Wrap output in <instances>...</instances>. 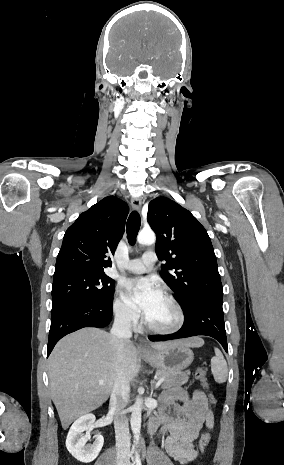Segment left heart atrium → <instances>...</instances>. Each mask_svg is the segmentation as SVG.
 Here are the masks:
<instances>
[{"instance_id": "left-heart-atrium-1", "label": "left heart atrium", "mask_w": 284, "mask_h": 465, "mask_svg": "<svg viewBox=\"0 0 284 465\" xmlns=\"http://www.w3.org/2000/svg\"><path fill=\"white\" fill-rule=\"evenodd\" d=\"M125 300L139 314L146 317L161 297L155 282L149 278H136L125 285Z\"/></svg>"}]
</instances>
